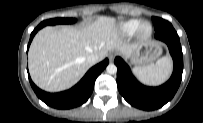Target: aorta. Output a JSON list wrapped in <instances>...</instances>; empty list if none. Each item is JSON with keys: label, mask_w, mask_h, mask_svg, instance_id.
Segmentation results:
<instances>
[{"label": "aorta", "mask_w": 203, "mask_h": 123, "mask_svg": "<svg viewBox=\"0 0 203 123\" xmlns=\"http://www.w3.org/2000/svg\"><path fill=\"white\" fill-rule=\"evenodd\" d=\"M108 74H115L117 72V67L115 64H109L106 68Z\"/></svg>", "instance_id": "aorta-1"}]
</instances>
